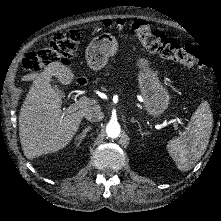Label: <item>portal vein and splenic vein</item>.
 <instances>
[{"label": "portal vein and splenic vein", "instance_id": "18ae733b", "mask_svg": "<svg viewBox=\"0 0 221 221\" xmlns=\"http://www.w3.org/2000/svg\"><path fill=\"white\" fill-rule=\"evenodd\" d=\"M93 102L90 98L86 97V96H83L81 97L78 101H76L75 103L71 104L69 107H68V111L70 113L72 112H75L77 111L78 109H83L89 105H91ZM174 128L175 130L178 129V124L176 122H174Z\"/></svg>", "mask_w": 221, "mask_h": 221}]
</instances>
